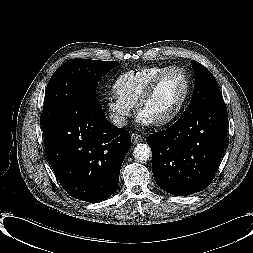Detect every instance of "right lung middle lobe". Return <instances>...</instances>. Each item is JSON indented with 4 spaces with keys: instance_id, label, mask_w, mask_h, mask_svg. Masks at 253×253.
Wrapping results in <instances>:
<instances>
[{
    "instance_id": "dd1d6c3e",
    "label": "right lung middle lobe",
    "mask_w": 253,
    "mask_h": 253,
    "mask_svg": "<svg viewBox=\"0 0 253 253\" xmlns=\"http://www.w3.org/2000/svg\"><path fill=\"white\" fill-rule=\"evenodd\" d=\"M118 63L71 59L62 64L52 75L46 88L42 128L47 127L74 103L95 96L98 82Z\"/></svg>"
}]
</instances>
